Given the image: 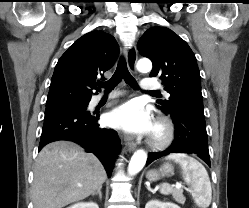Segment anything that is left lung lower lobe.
Returning a JSON list of instances; mask_svg holds the SVG:
<instances>
[{
    "label": "left lung lower lobe",
    "instance_id": "0a47b994",
    "mask_svg": "<svg viewBox=\"0 0 249 208\" xmlns=\"http://www.w3.org/2000/svg\"><path fill=\"white\" fill-rule=\"evenodd\" d=\"M175 124L174 140L165 151L151 152L146 165L171 153H194L210 166L204 113L178 108L171 114Z\"/></svg>",
    "mask_w": 249,
    "mask_h": 208
}]
</instances>
